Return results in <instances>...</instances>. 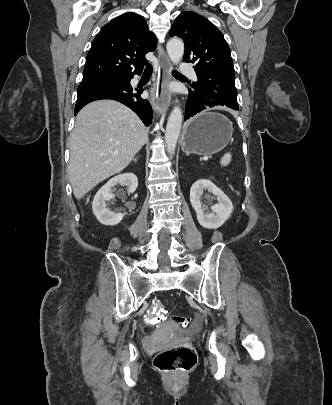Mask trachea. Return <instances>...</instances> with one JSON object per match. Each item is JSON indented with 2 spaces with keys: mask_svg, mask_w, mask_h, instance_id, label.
Returning a JSON list of instances; mask_svg holds the SVG:
<instances>
[{
  "mask_svg": "<svg viewBox=\"0 0 332 405\" xmlns=\"http://www.w3.org/2000/svg\"><path fill=\"white\" fill-rule=\"evenodd\" d=\"M152 71H153L152 65H151V64H148V65L146 66V68H145L144 73L150 74V73H152ZM173 74L181 75V74H180L179 72H177V71H173Z\"/></svg>",
  "mask_w": 332,
  "mask_h": 405,
  "instance_id": "obj_1",
  "label": "trachea"
}]
</instances>
